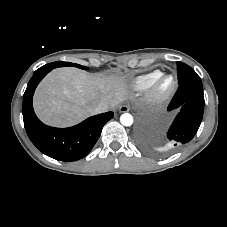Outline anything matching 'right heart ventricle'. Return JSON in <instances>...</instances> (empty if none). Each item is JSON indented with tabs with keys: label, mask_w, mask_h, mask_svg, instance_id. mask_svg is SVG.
<instances>
[{
	"label": "right heart ventricle",
	"mask_w": 227,
	"mask_h": 227,
	"mask_svg": "<svg viewBox=\"0 0 227 227\" xmlns=\"http://www.w3.org/2000/svg\"><path fill=\"white\" fill-rule=\"evenodd\" d=\"M160 75L161 71L159 70H154L149 73L139 75L132 79L131 87L134 90H145L149 88Z\"/></svg>",
	"instance_id": "e07e8e85"
}]
</instances>
